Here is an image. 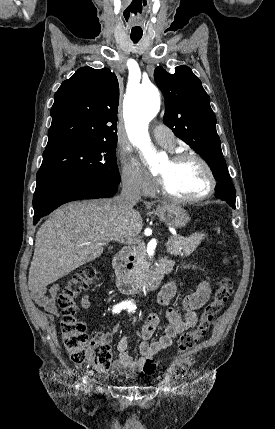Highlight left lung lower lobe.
Segmentation results:
<instances>
[{
	"instance_id": "left-lung-lower-lobe-1",
	"label": "left lung lower lobe",
	"mask_w": 275,
	"mask_h": 429,
	"mask_svg": "<svg viewBox=\"0 0 275 429\" xmlns=\"http://www.w3.org/2000/svg\"><path fill=\"white\" fill-rule=\"evenodd\" d=\"M216 194H217V198H219V199H221V200H224L225 201V198L221 195V189L219 188H217L216 189ZM233 208H235V205H231Z\"/></svg>"
}]
</instances>
